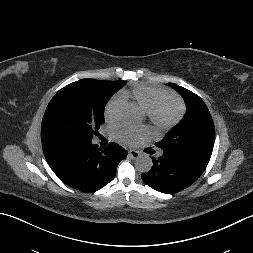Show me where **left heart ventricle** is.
<instances>
[{
	"instance_id": "b2bd125f",
	"label": "left heart ventricle",
	"mask_w": 253,
	"mask_h": 253,
	"mask_svg": "<svg viewBox=\"0 0 253 253\" xmlns=\"http://www.w3.org/2000/svg\"><path fill=\"white\" fill-rule=\"evenodd\" d=\"M173 114V107L171 105H167L163 110V115L165 117H169Z\"/></svg>"
}]
</instances>
